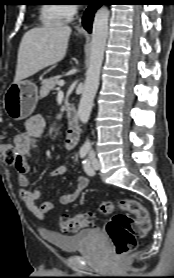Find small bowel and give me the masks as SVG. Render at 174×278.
<instances>
[{"label": "small bowel", "instance_id": "c3829d8e", "mask_svg": "<svg viewBox=\"0 0 174 278\" xmlns=\"http://www.w3.org/2000/svg\"><path fill=\"white\" fill-rule=\"evenodd\" d=\"M45 129V121L41 115H33L25 122V131L18 134L14 140L16 149V159L13 163L17 171V180L20 186V197L25 207L36 217L44 219L45 215L57 209L55 203L44 201L40 206L37 201L41 198L42 191L40 188L26 190L29 185V164L27 162L35 148L38 139L42 136ZM66 166H58L51 172V177H60L66 173ZM90 184V178L82 175L77 179L76 187L72 192L65 193L60 197V203L63 205L74 202L81 192Z\"/></svg>", "mask_w": 174, "mask_h": 278}]
</instances>
